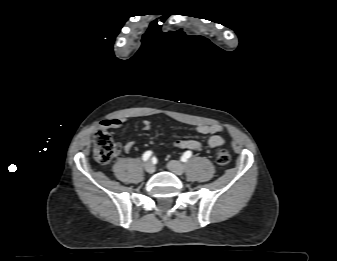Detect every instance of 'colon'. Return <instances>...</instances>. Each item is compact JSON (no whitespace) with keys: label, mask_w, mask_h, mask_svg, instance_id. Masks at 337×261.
I'll list each match as a JSON object with an SVG mask.
<instances>
[{"label":"colon","mask_w":337,"mask_h":261,"mask_svg":"<svg viewBox=\"0 0 337 261\" xmlns=\"http://www.w3.org/2000/svg\"><path fill=\"white\" fill-rule=\"evenodd\" d=\"M117 147L112 137L104 131H98L94 136L93 142V156L94 159L100 164L109 163L115 156ZM231 160L228 150L221 149L216 155L217 164L224 166Z\"/></svg>","instance_id":"obj_1"}]
</instances>
